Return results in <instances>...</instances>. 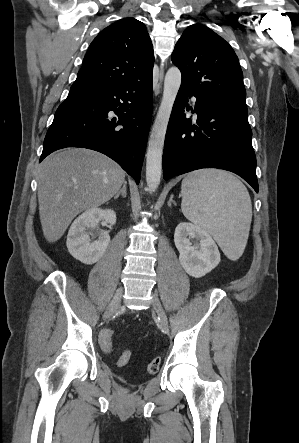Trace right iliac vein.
Listing matches in <instances>:
<instances>
[{"label": "right iliac vein", "instance_id": "right-iliac-vein-1", "mask_svg": "<svg viewBox=\"0 0 299 443\" xmlns=\"http://www.w3.org/2000/svg\"><path fill=\"white\" fill-rule=\"evenodd\" d=\"M122 294H123V289L118 288L107 310L104 313V319H108L111 315L114 314V312H116L119 309L122 299Z\"/></svg>", "mask_w": 299, "mask_h": 443}]
</instances>
